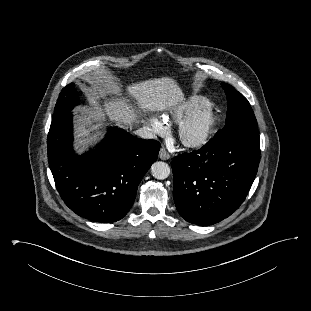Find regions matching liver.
I'll use <instances>...</instances> for the list:
<instances>
[{
    "label": "liver",
    "mask_w": 311,
    "mask_h": 311,
    "mask_svg": "<svg viewBox=\"0 0 311 311\" xmlns=\"http://www.w3.org/2000/svg\"><path fill=\"white\" fill-rule=\"evenodd\" d=\"M125 94L134 98L143 110L162 111L174 108L184 101V94L174 79L162 77L128 84L123 87ZM113 95L103 97L102 110L117 125L132 127L137 122L136 112L124 97L120 88L111 90ZM101 124L97 122V114L93 111L83 113L76 124L77 148L85 147L94 141Z\"/></svg>",
    "instance_id": "obj_1"
}]
</instances>
